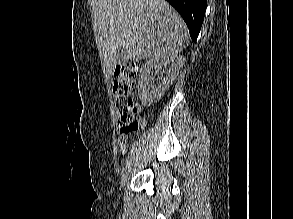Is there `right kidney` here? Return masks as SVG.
I'll return each instance as SVG.
<instances>
[{
    "mask_svg": "<svg viewBox=\"0 0 293 219\" xmlns=\"http://www.w3.org/2000/svg\"><path fill=\"white\" fill-rule=\"evenodd\" d=\"M184 62L185 57L182 55H169L167 57L150 59L145 63L138 81V94L141 102L147 105L157 102L176 79ZM167 65H170V68L165 72L166 75L163 76L164 72H162V69L166 68ZM152 69H155L156 73L161 74L156 84H154L153 78L150 77Z\"/></svg>",
    "mask_w": 293,
    "mask_h": 219,
    "instance_id": "obj_1",
    "label": "right kidney"
}]
</instances>
